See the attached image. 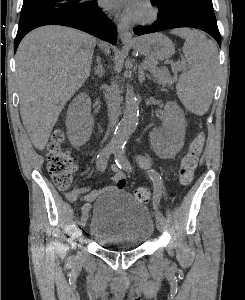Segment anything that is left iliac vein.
Masks as SVG:
<instances>
[{
  "label": "left iliac vein",
  "mask_w": 245,
  "mask_h": 300,
  "mask_svg": "<svg viewBox=\"0 0 245 300\" xmlns=\"http://www.w3.org/2000/svg\"><path fill=\"white\" fill-rule=\"evenodd\" d=\"M156 226H157V229L160 231V232H163L164 231V221L160 220V219H157L156 220Z\"/></svg>",
  "instance_id": "left-iliac-vein-1"
}]
</instances>
